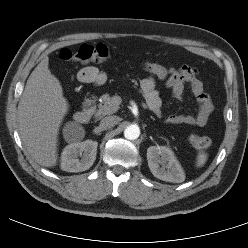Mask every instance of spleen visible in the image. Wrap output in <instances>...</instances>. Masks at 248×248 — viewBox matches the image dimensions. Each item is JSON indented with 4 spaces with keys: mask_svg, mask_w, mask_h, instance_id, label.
Masks as SVG:
<instances>
[{
    "mask_svg": "<svg viewBox=\"0 0 248 248\" xmlns=\"http://www.w3.org/2000/svg\"><path fill=\"white\" fill-rule=\"evenodd\" d=\"M207 159H208L207 153L205 152L198 153L197 158H196V166L198 168L203 167Z\"/></svg>",
    "mask_w": 248,
    "mask_h": 248,
    "instance_id": "obj_1",
    "label": "spleen"
}]
</instances>
